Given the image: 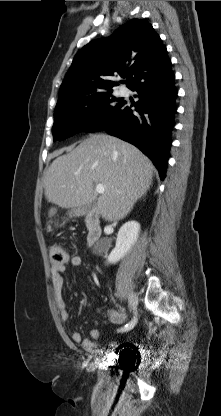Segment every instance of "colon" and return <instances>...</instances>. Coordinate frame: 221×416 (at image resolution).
<instances>
[{
  "label": "colon",
  "mask_w": 221,
  "mask_h": 416,
  "mask_svg": "<svg viewBox=\"0 0 221 416\" xmlns=\"http://www.w3.org/2000/svg\"><path fill=\"white\" fill-rule=\"evenodd\" d=\"M67 257L68 253L62 245L53 243L49 246V258L53 265L64 264L67 260Z\"/></svg>",
  "instance_id": "1"
}]
</instances>
